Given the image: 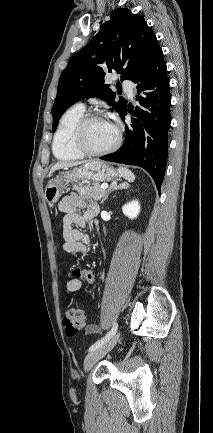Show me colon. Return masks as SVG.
Segmentation results:
<instances>
[{
    "label": "colon",
    "instance_id": "colon-1",
    "mask_svg": "<svg viewBox=\"0 0 213 433\" xmlns=\"http://www.w3.org/2000/svg\"><path fill=\"white\" fill-rule=\"evenodd\" d=\"M63 324L68 336L78 334L85 326L84 311L77 305H69L63 317Z\"/></svg>",
    "mask_w": 213,
    "mask_h": 433
}]
</instances>
